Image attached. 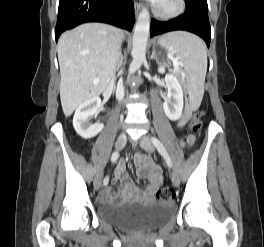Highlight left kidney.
Returning <instances> with one entry per match:
<instances>
[{"instance_id":"left-kidney-1","label":"left kidney","mask_w":264,"mask_h":247,"mask_svg":"<svg viewBox=\"0 0 264 247\" xmlns=\"http://www.w3.org/2000/svg\"><path fill=\"white\" fill-rule=\"evenodd\" d=\"M160 74L165 73L164 66L158 68ZM165 82L167 86V99L163 103L166 116L171 121L180 119L183 110V89L178 78L172 74H166Z\"/></svg>"}]
</instances>
